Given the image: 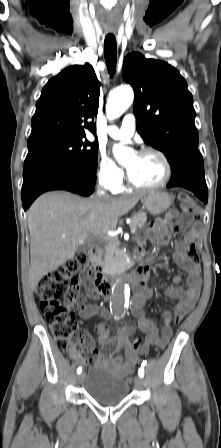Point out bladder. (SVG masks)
<instances>
[{
    "label": "bladder",
    "mask_w": 221,
    "mask_h": 448,
    "mask_svg": "<svg viewBox=\"0 0 221 448\" xmlns=\"http://www.w3.org/2000/svg\"><path fill=\"white\" fill-rule=\"evenodd\" d=\"M84 390L95 402L111 406L125 400L130 391L129 381L104 366H94L84 373Z\"/></svg>",
    "instance_id": "bladder-1"
}]
</instances>
